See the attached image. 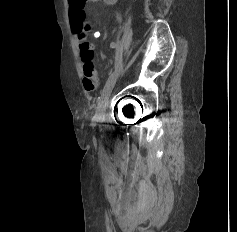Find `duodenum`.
Wrapping results in <instances>:
<instances>
[{
    "mask_svg": "<svg viewBox=\"0 0 237 232\" xmlns=\"http://www.w3.org/2000/svg\"><path fill=\"white\" fill-rule=\"evenodd\" d=\"M104 1L108 5H112V4H115L117 2V0H104Z\"/></svg>",
    "mask_w": 237,
    "mask_h": 232,
    "instance_id": "duodenum-1",
    "label": "duodenum"
}]
</instances>
